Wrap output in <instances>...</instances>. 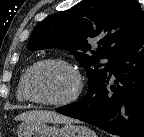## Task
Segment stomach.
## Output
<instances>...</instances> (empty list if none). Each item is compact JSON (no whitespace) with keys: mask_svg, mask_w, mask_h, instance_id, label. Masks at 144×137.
Listing matches in <instances>:
<instances>
[{"mask_svg":"<svg viewBox=\"0 0 144 137\" xmlns=\"http://www.w3.org/2000/svg\"><path fill=\"white\" fill-rule=\"evenodd\" d=\"M16 133L18 137H96L90 128L73 123H65L62 127L46 122L22 123Z\"/></svg>","mask_w":144,"mask_h":137,"instance_id":"0dacf381","label":"stomach"}]
</instances>
